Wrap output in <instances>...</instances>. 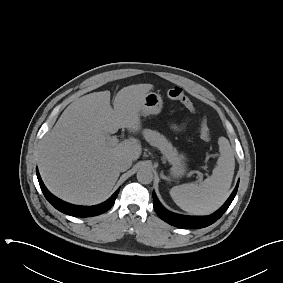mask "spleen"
I'll return each instance as SVG.
<instances>
[{"instance_id":"spleen-1","label":"spleen","mask_w":283,"mask_h":283,"mask_svg":"<svg viewBox=\"0 0 283 283\" xmlns=\"http://www.w3.org/2000/svg\"><path fill=\"white\" fill-rule=\"evenodd\" d=\"M220 156L212 175L201 184H182L170 190L173 201L184 211L206 215L217 210L227 199L232 183L235 159L227 138L218 140Z\"/></svg>"}]
</instances>
